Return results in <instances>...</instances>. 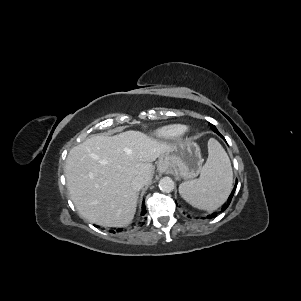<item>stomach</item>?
I'll use <instances>...</instances> for the list:
<instances>
[{
	"instance_id": "stomach-1",
	"label": "stomach",
	"mask_w": 301,
	"mask_h": 301,
	"mask_svg": "<svg viewBox=\"0 0 301 301\" xmlns=\"http://www.w3.org/2000/svg\"><path fill=\"white\" fill-rule=\"evenodd\" d=\"M202 162L199 146L192 140H185L171 145L160 156L158 169L173 172L179 178L193 179L202 172Z\"/></svg>"
}]
</instances>
